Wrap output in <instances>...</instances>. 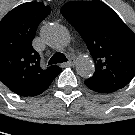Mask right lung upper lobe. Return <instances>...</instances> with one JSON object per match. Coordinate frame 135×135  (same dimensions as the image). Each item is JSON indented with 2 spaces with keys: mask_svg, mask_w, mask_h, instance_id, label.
<instances>
[{
  "mask_svg": "<svg viewBox=\"0 0 135 135\" xmlns=\"http://www.w3.org/2000/svg\"><path fill=\"white\" fill-rule=\"evenodd\" d=\"M50 11L42 2H27L0 21V80L20 96L40 95L62 71L56 65L43 69L32 47L36 29Z\"/></svg>",
  "mask_w": 135,
  "mask_h": 135,
  "instance_id": "obj_1",
  "label": "right lung upper lobe"
}]
</instances>
